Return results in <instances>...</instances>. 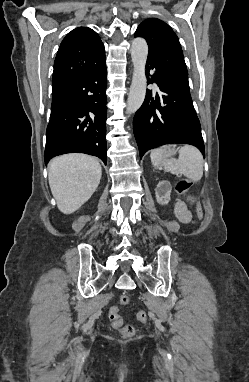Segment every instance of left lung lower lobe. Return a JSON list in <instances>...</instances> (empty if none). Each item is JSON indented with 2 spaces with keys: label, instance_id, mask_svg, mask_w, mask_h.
<instances>
[{
  "label": "left lung lower lobe",
  "instance_id": "0a47b994",
  "mask_svg": "<svg viewBox=\"0 0 249 382\" xmlns=\"http://www.w3.org/2000/svg\"><path fill=\"white\" fill-rule=\"evenodd\" d=\"M154 69L150 82L159 93L147 90L145 100L133 119L134 135L140 157L150 149L170 143L196 146L205 157L201 126L190 95L189 85L170 76L147 59L146 75ZM149 81V78H148Z\"/></svg>",
  "mask_w": 249,
  "mask_h": 382
}]
</instances>
